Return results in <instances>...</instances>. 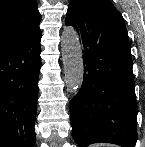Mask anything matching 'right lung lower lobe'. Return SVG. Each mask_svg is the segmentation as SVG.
Returning a JSON list of instances; mask_svg holds the SVG:
<instances>
[{"label":"right lung lower lobe","instance_id":"right-lung-lower-lobe-1","mask_svg":"<svg viewBox=\"0 0 145 147\" xmlns=\"http://www.w3.org/2000/svg\"><path fill=\"white\" fill-rule=\"evenodd\" d=\"M41 31L0 48V147H33Z\"/></svg>","mask_w":145,"mask_h":147}]
</instances>
